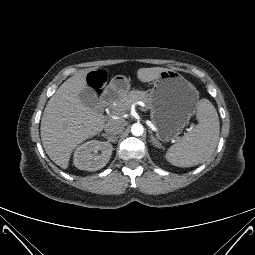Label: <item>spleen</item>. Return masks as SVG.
I'll return each mask as SVG.
<instances>
[{
	"instance_id": "spleen-1",
	"label": "spleen",
	"mask_w": 255,
	"mask_h": 255,
	"mask_svg": "<svg viewBox=\"0 0 255 255\" xmlns=\"http://www.w3.org/2000/svg\"><path fill=\"white\" fill-rule=\"evenodd\" d=\"M198 124L166 153V159L178 167H192L209 162L218 143L220 123L217 111L207 99L197 107Z\"/></svg>"
}]
</instances>
